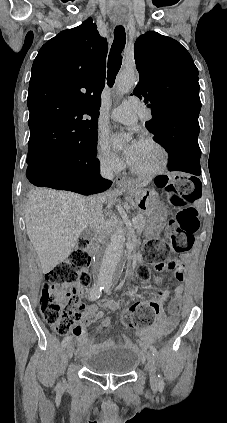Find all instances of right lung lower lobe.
I'll return each mask as SVG.
<instances>
[{
  "mask_svg": "<svg viewBox=\"0 0 227 423\" xmlns=\"http://www.w3.org/2000/svg\"><path fill=\"white\" fill-rule=\"evenodd\" d=\"M96 154L62 157L47 152L40 160L28 164L26 176L35 186L90 195L105 191L111 181L99 175Z\"/></svg>",
  "mask_w": 227,
  "mask_h": 423,
  "instance_id": "98d812e1",
  "label": "right lung lower lobe"
}]
</instances>
